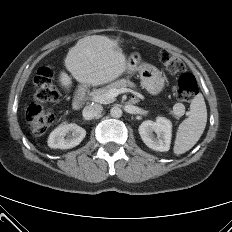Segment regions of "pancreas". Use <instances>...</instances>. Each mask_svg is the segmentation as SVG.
<instances>
[{"label":"pancreas","instance_id":"pancreas-1","mask_svg":"<svg viewBox=\"0 0 232 232\" xmlns=\"http://www.w3.org/2000/svg\"><path fill=\"white\" fill-rule=\"evenodd\" d=\"M122 87H130V88H134L135 84L133 82H131L130 80H126V79H121L118 80L116 82L111 83L110 85H107L104 88H100V89H96L93 90V92L91 93V96L95 99L98 98L99 102L101 103H111L114 101V98H108L107 94L112 90V89H119ZM171 114L176 118L179 119V115L175 113V111H171Z\"/></svg>","mask_w":232,"mask_h":232}]
</instances>
